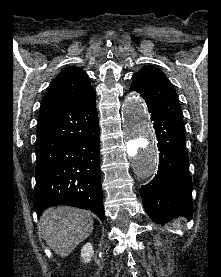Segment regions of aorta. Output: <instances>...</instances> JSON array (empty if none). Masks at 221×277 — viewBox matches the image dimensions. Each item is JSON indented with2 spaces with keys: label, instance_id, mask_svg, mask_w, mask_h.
Segmentation results:
<instances>
[{
  "label": "aorta",
  "instance_id": "aorta-1",
  "mask_svg": "<svg viewBox=\"0 0 221 277\" xmlns=\"http://www.w3.org/2000/svg\"><path fill=\"white\" fill-rule=\"evenodd\" d=\"M121 118L133 170L137 176L148 178L156 171L158 156L147 111L137 95L131 94L125 99Z\"/></svg>",
  "mask_w": 221,
  "mask_h": 277
}]
</instances>
